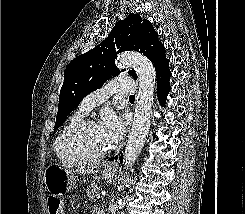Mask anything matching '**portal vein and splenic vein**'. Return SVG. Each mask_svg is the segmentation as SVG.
I'll list each match as a JSON object with an SVG mask.
<instances>
[{"label": "portal vein and splenic vein", "instance_id": "obj_1", "mask_svg": "<svg viewBox=\"0 0 245 214\" xmlns=\"http://www.w3.org/2000/svg\"><path fill=\"white\" fill-rule=\"evenodd\" d=\"M101 194H102V196H106L107 195V193L105 191L102 192Z\"/></svg>", "mask_w": 245, "mask_h": 214}]
</instances>
